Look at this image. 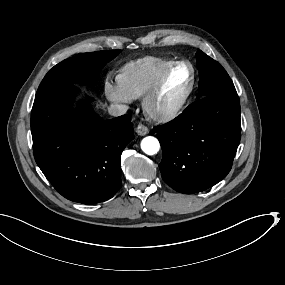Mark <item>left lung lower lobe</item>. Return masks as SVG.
<instances>
[{"label": "left lung lower lobe", "mask_w": 285, "mask_h": 285, "mask_svg": "<svg viewBox=\"0 0 285 285\" xmlns=\"http://www.w3.org/2000/svg\"><path fill=\"white\" fill-rule=\"evenodd\" d=\"M154 130L164 182L184 194L204 191L231 170L241 137L239 97L236 91L204 96Z\"/></svg>", "instance_id": "left-lung-lower-lobe-1"}]
</instances>
